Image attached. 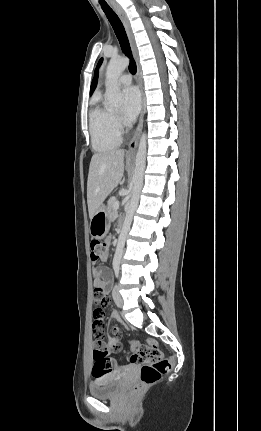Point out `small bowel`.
Returning <instances> with one entry per match:
<instances>
[{"mask_svg": "<svg viewBox=\"0 0 261 431\" xmlns=\"http://www.w3.org/2000/svg\"><path fill=\"white\" fill-rule=\"evenodd\" d=\"M111 239L108 238L107 242L110 243ZM108 258V254L104 256L101 260L106 261ZM93 276H94V291L92 295V303L94 304V310L92 312L93 317V336L94 341L93 345L96 349L103 350L106 353H116L121 349L119 342L120 330L118 327H113L111 329L112 337L109 343H104L102 340L104 339V330L106 327L107 320L102 316L107 315L108 310L106 308V302L108 300V291L109 287L112 283L113 276L110 270L106 267H94L93 268ZM111 318H117L116 313L111 314ZM113 360V359H109ZM116 362V366L120 365Z\"/></svg>", "mask_w": 261, "mask_h": 431, "instance_id": "obj_1", "label": "small bowel"}]
</instances>
